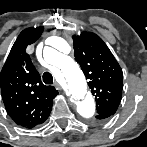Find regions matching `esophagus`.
<instances>
[{"label":"esophagus","mask_w":147,"mask_h":147,"mask_svg":"<svg viewBox=\"0 0 147 147\" xmlns=\"http://www.w3.org/2000/svg\"><path fill=\"white\" fill-rule=\"evenodd\" d=\"M55 87L58 89V90H61L62 89V86H61V84L60 83H58V82H55Z\"/></svg>","instance_id":"1"}]
</instances>
